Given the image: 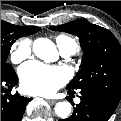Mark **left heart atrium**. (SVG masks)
Returning a JSON list of instances; mask_svg holds the SVG:
<instances>
[{
  "label": "left heart atrium",
  "mask_w": 121,
  "mask_h": 121,
  "mask_svg": "<svg viewBox=\"0 0 121 121\" xmlns=\"http://www.w3.org/2000/svg\"><path fill=\"white\" fill-rule=\"evenodd\" d=\"M20 76L22 87L27 93L43 96L54 94L67 80L62 68L39 62L22 66Z\"/></svg>",
  "instance_id": "39dd6f15"
}]
</instances>
